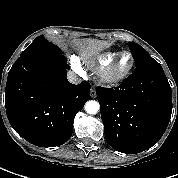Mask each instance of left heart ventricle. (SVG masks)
I'll use <instances>...</instances> for the list:
<instances>
[{
    "instance_id": "obj_1",
    "label": "left heart ventricle",
    "mask_w": 178,
    "mask_h": 178,
    "mask_svg": "<svg viewBox=\"0 0 178 178\" xmlns=\"http://www.w3.org/2000/svg\"><path fill=\"white\" fill-rule=\"evenodd\" d=\"M131 65V57L128 54H124L118 61L117 66L114 69L115 73H122L127 70Z\"/></svg>"
}]
</instances>
